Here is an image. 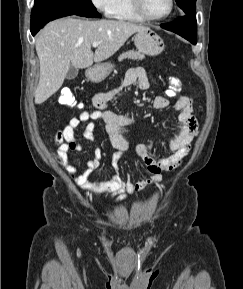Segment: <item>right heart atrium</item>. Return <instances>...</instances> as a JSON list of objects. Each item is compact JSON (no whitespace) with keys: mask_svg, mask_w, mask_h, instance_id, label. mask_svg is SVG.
<instances>
[{"mask_svg":"<svg viewBox=\"0 0 243 289\" xmlns=\"http://www.w3.org/2000/svg\"><path fill=\"white\" fill-rule=\"evenodd\" d=\"M92 4L100 11L109 14L114 0H91Z\"/></svg>","mask_w":243,"mask_h":289,"instance_id":"obj_1","label":"right heart atrium"}]
</instances>
